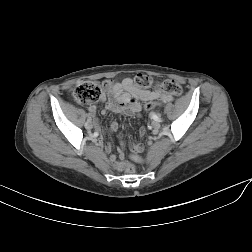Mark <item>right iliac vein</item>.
Masks as SVG:
<instances>
[{"instance_id":"right-iliac-vein-1","label":"right iliac vein","mask_w":252,"mask_h":252,"mask_svg":"<svg viewBox=\"0 0 252 252\" xmlns=\"http://www.w3.org/2000/svg\"><path fill=\"white\" fill-rule=\"evenodd\" d=\"M92 127H93V125H92L91 122H86V123H85V128H86L87 130H91Z\"/></svg>"}]
</instances>
